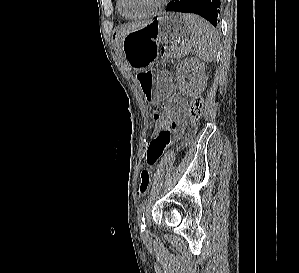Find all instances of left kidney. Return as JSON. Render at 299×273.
Listing matches in <instances>:
<instances>
[{
	"label": "left kidney",
	"mask_w": 299,
	"mask_h": 273,
	"mask_svg": "<svg viewBox=\"0 0 299 273\" xmlns=\"http://www.w3.org/2000/svg\"><path fill=\"white\" fill-rule=\"evenodd\" d=\"M190 72L193 76L189 75ZM176 79L183 94L198 95L206 87L205 65L194 57L186 58L177 66Z\"/></svg>",
	"instance_id": "left-kidney-1"
}]
</instances>
